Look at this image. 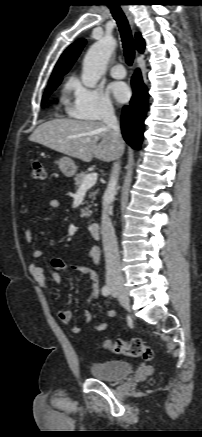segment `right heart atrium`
<instances>
[{
	"label": "right heart atrium",
	"mask_w": 202,
	"mask_h": 437,
	"mask_svg": "<svg viewBox=\"0 0 202 437\" xmlns=\"http://www.w3.org/2000/svg\"><path fill=\"white\" fill-rule=\"evenodd\" d=\"M72 93L68 113L84 120H102L114 114L109 95L102 88H91L75 80L70 84Z\"/></svg>",
	"instance_id": "right-heart-atrium-1"
}]
</instances>
